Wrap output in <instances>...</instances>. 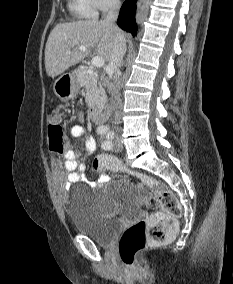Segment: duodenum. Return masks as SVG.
<instances>
[{"mask_svg": "<svg viewBox=\"0 0 233 284\" xmlns=\"http://www.w3.org/2000/svg\"><path fill=\"white\" fill-rule=\"evenodd\" d=\"M89 114L93 122H95L99 127L103 126L104 114L100 105H93L90 108Z\"/></svg>", "mask_w": 233, "mask_h": 284, "instance_id": "duodenum-1", "label": "duodenum"}]
</instances>
